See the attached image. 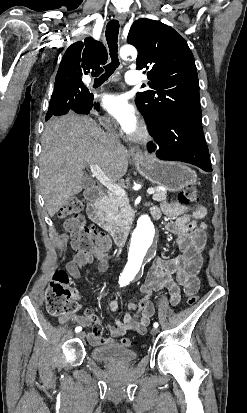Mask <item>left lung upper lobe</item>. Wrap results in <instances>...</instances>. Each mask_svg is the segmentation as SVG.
<instances>
[{"mask_svg":"<svg viewBox=\"0 0 247 413\" xmlns=\"http://www.w3.org/2000/svg\"><path fill=\"white\" fill-rule=\"evenodd\" d=\"M127 42L138 50L137 69L146 68L151 80V89L135 100L148 127L175 115L201 120L198 75L186 40L172 27L143 18L132 24Z\"/></svg>","mask_w":247,"mask_h":413,"instance_id":"obj_1","label":"left lung upper lobe"}]
</instances>
